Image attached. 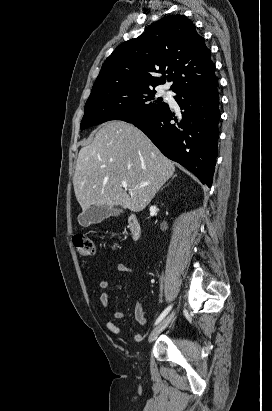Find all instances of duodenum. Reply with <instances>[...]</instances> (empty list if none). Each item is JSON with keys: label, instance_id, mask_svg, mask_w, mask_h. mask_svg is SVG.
I'll use <instances>...</instances> for the list:
<instances>
[{"label": "duodenum", "instance_id": "duodenum-1", "mask_svg": "<svg viewBox=\"0 0 272 411\" xmlns=\"http://www.w3.org/2000/svg\"><path fill=\"white\" fill-rule=\"evenodd\" d=\"M128 229H129L130 236L133 239L137 240L141 237L142 227H141V223L139 219L137 218V216L131 215L128 218Z\"/></svg>", "mask_w": 272, "mask_h": 411}]
</instances>
